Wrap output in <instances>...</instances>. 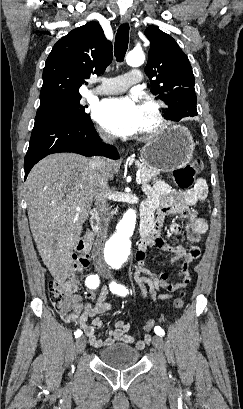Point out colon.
I'll list each match as a JSON object with an SVG mask.
<instances>
[{
  "mask_svg": "<svg viewBox=\"0 0 243 409\" xmlns=\"http://www.w3.org/2000/svg\"><path fill=\"white\" fill-rule=\"evenodd\" d=\"M203 170L201 161H193L172 172L174 183L181 189L190 188L196 176ZM93 243V236L90 233L84 234L78 245L77 252L73 256L70 264L69 278L65 281H52L49 284V294L51 302L57 313L66 321H74L78 311L73 301V294L78 288L77 276L89 266V255ZM184 305V293L182 292L173 301L174 309H181ZM154 319L148 320L144 325L145 331H150L156 327Z\"/></svg>",
  "mask_w": 243,
  "mask_h": 409,
  "instance_id": "1",
  "label": "colon"
}]
</instances>
